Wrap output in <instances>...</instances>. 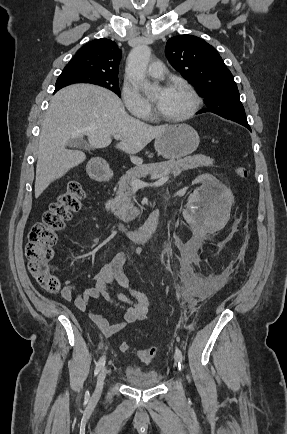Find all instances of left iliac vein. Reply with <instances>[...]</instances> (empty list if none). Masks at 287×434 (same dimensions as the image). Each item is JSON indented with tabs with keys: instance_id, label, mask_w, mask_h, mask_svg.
<instances>
[{
	"instance_id": "4c4485c4",
	"label": "left iliac vein",
	"mask_w": 287,
	"mask_h": 434,
	"mask_svg": "<svg viewBox=\"0 0 287 434\" xmlns=\"http://www.w3.org/2000/svg\"><path fill=\"white\" fill-rule=\"evenodd\" d=\"M175 359L177 360V356H176V354H175Z\"/></svg>"
}]
</instances>
